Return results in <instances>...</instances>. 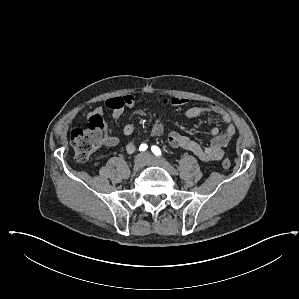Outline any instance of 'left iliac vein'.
Segmentation results:
<instances>
[{"label": "left iliac vein", "instance_id": "1", "mask_svg": "<svg viewBox=\"0 0 299 299\" xmlns=\"http://www.w3.org/2000/svg\"><path fill=\"white\" fill-rule=\"evenodd\" d=\"M144 157L146 159V165L161 167L171 175L177 174L176 169L167 161L154 157L149 153H145Z\"/></svg>", "mask_w": 299, "mask_h": 299}]
</instances>
